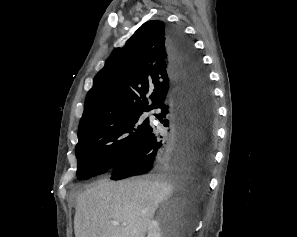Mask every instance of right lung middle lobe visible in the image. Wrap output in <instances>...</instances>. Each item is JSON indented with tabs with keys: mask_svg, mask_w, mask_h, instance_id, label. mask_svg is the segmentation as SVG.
<instances>
[{
	"mask_svg": "<svg viewBox=\"0 0 297 237\" xmlns=\"http://www.w3.org/2000/svg\"><path fill=\"white\" fill-rule=\"evenodd\" d=\"M142 113L108 118L78 134V179H89L112 170L119 160L145 139L152 127L149 118L144 120Z\"/></svg>",
	"mask_w": 297,
	"mask_h": 237,
	"instance_id": "obj_1",
	"label": "right lung middle lobe"
}]
</instances>
